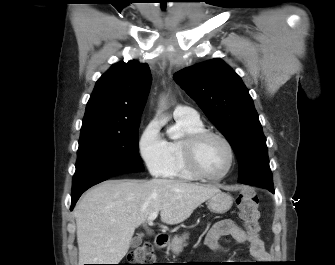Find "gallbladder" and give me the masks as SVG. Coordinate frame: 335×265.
<instances>
[{
    "mask_svg": "<svg viewBox=\"0 0 335 265\" xmlns=\"http://www.w3.org/2000/svg\"><path fill=\"white\" fill-rule=\"evenodd\" d=\"M141 244H142V235H141V234H138L137 236H135V237L132 239L130 246H131L132 248H137V247H139Z\"/></svg>",
    "mask_w": 335,
    "mask_h": 265,
    "instance_id": "1",
    "label": "gallbladder"
}]
</instances>
